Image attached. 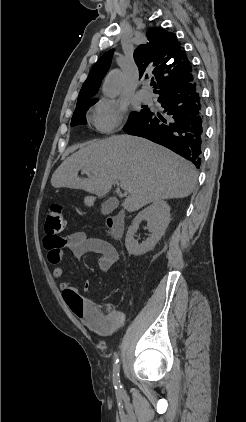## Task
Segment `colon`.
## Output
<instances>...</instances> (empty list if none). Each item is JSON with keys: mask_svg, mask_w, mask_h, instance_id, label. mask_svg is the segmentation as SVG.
Segmentation results:
<instances>
[{"mask_svg": "<svg viewBox=\"0 0 246 422\" xmlns=\"http://www.w3.org/2000/svg\"><path fill=\"white\" fill-rule=\"evenodd\" d=\"M66 226L63 207L58 203L51 204L46 210V231L49 234H59Z\"/></svg>", "mask_w": 246, "mask_h": 422, "instance_id": "colon-1", "label": "colon"}]
</instances>
